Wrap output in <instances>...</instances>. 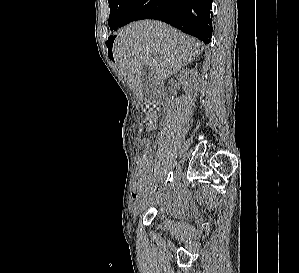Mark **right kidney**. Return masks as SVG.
Returning a JSON list of instances; mask_svg holds the SVG:
<instances>
[{
  "instance_id": "right-kidney-1",
  "label": "right kidney",
  "mask_w": 299,
  "mask_h": 273,
  "mask_svg": "<svg viewBox=\"0 0 299 273\" xmlns=\"http://www.w3.org/2000/svg\"><path fill=\"white\" fill-rule=\"evenodd\" d=\"M192 76H197V71L186 69L182 71V73H180L179 81L185 82L187 79H189Z\"/></svg>"
}]
</instances>
